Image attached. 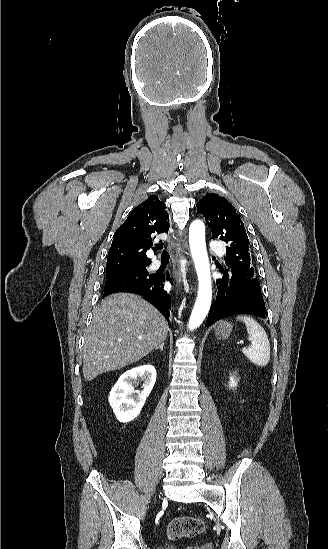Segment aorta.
<instances>
[{
    "label": "aorta",
    "instance_id": "obj_1",
    "mask_svg": "<svg viewBox=\"0 0 328 549\" xmlns=\"http://www.w3.org/2000/svg\"><path fill=\"white\" fill-rule=\"evenodd\" d=\"M189 244L199 284L197 299L188 322L189 329L194 330L206 318L212 299L211 272L205 243V225L201 220H195L191 223Z\"/></svg>",
    "mask_w": 328,
    "mask_h": 549
}]
</instances>
